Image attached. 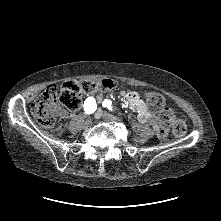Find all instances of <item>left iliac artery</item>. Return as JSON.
I'll list each match as a JSON object with an SVG mask.
<instances>
[{
  "instance_id": "left-iliac-artery-1",
  "label": "left iliac artery",
  "mask_w": 221,
  "mask_h": 221,
  "mask_svg": "<svg viewBox=\"0 0 221 221\" xmlns=\"http://www.w3.org/2000/svg\"><path fill=\"white\" fill-rule=\"evenodd\" d=\"M102 105L112 111V103H111L110 100L105 99V100L103 101Z\"/></svg>"
}]
</instances>
